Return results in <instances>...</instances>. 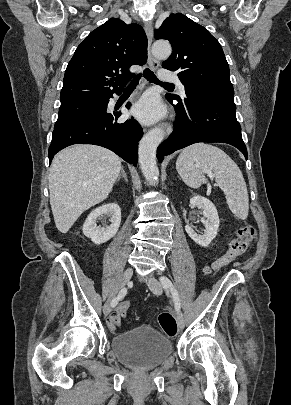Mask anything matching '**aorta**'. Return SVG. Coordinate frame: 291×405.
<instances>
[{"instance_id":"aorta-1","label":"aorta","mask_w":291,"mask_h":405,"mask_svg":"<svg viewBox=\"0 0 291 405\" xmlns=\"http://www.w3.org/2000/svg\"><path fill=\"white\" fill-rule=\"evenodd\" d=\"M171 52V45L165 40H158L154 42L152 46V53L158 59H167L171 55ZM163 138L164 130L156 127L143 136L139 143L138 154L141 171L146 180L154 185L158 183L159 177V170L156 162V150Z\"/></svg>"}]
</instances>
